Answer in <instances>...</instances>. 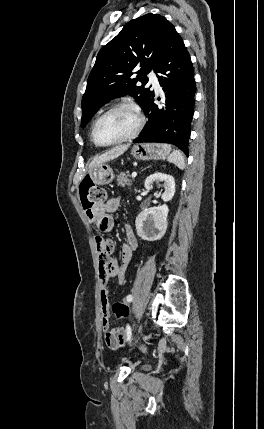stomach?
Wrapping results in <instances>:
<instances>
[{
    "instance_id": "0dacf381",
    "label": "stomach",
    "mask_w": 264,
    "mask_h": 429,
    "mask_svg": "<svg viewBox=\"0 0 264 429\" xmlns=\"http://www.w3.org/2000/svg\"><path fill=\"white\" fill-rule=\"evenodd\" d=\"M171 152V146L164 143H140L131 149V155L137 160L165 159ZM90 179L98 185H105L114 178L113 170L106 163L98 164L89 169Z\"/></svg>"
}]
</instances>
